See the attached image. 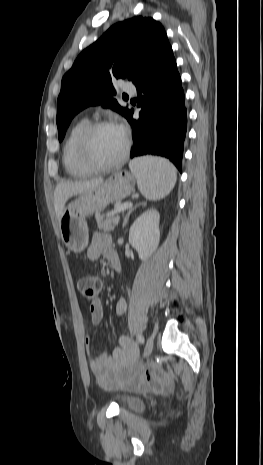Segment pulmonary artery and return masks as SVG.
<instances>
[{
    "label": "pulmonary artery",
    "mask_w": 263,
    "mask_h": 465,
    "mask_svg": "<svg viewBox=\"0 0 263 465\" xmlns=\"http://www.w3.org/2000/svg\"><path fill=\"white\" fill-rule=\"evenodd\" d=\"M123 91L128 92V93H131V94H134V93L136 92V89H135V87L132 86V85H125V86L123 87Z\"/></svg>",
    "instance_id": "e3ab8cb5"
}]
</instances>
